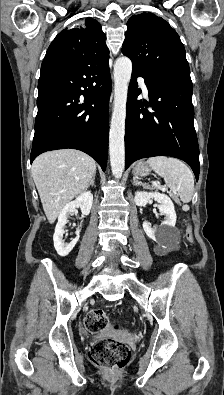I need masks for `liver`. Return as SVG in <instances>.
<instances>
[{"instance_id": "liver-1", "label": "liver", "mask_w": 224, "mask_h": 395, "mask_svg": "<svg viewBox=\"0 0 224 395\" xmlns=\"http://www.w3.org/2000/svg\"><path fill=\"white\" fill-rule=\"evenodd\" d=\"M31 172L45 215L52 224L64 206L88 188L95 177L96 162L81 151L61 149L39 155Z\"/></svg>"}]
</instances>
